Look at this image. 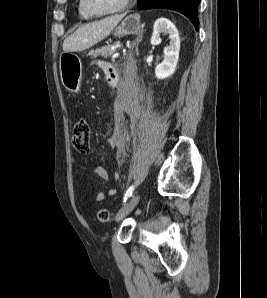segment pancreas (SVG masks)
<instances>
[{
  "label": "pancreas",
  "instance_id": "pancreas-1",
  "mask_svg": "<svg viewBox=\"0 0 267 298\" xmlns=\"http://www.w3.org/2000/svg\"><path fill=\"white\" fill-rule=\"evenodd\" d=\"M121 46H122V43L120 41H116L114 44L102 46L101 48L92 50L89 52L88 55L92 57H97V56L108 57V56H111L114 52V50H112V47L118 48Z\"/></svg>",
  "mask_w": 267,
  "mask_h": 298
}]
</instances>
